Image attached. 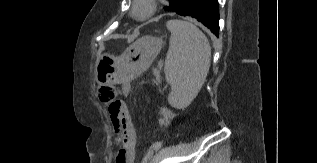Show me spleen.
<instances>
[{
	"label": "spleen",
	"instance_id": "spleen-1",
	"mask_svg": "<svg viewBox=\"0 0 317 163\" xmlns=\"http://www.w3.org/2000/svg\"><path fill=\"white\" fill-rule=\"evenodd\" d=\"M166 27L171 32L164 67L166 81L171 85L168 102L184 109L206 80L211 47L203 32L190 22L170 20Z\"/></svg>",
	"mask_w": 317,
	"mask_h": 163
}]
</instances>
